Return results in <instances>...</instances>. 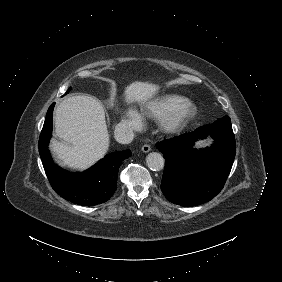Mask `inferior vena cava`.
<instances>
[{
  "label": "inferior vena cava",
  "instance_id": "602c4592",
  "mask_svg": "<svg viewBox=\"0 0 282 282\" xmlns=\"http://www.w3.org/2000/svg\"><path fill=\"white\" fill-rule=\"evenodd\" d=\"M114 138L118 143L129 144L134 138V133L128 125L119 123L115 126Z\"/></svg>",
  "mask_w": 282,
  "mask_h": 282
}]
</instances>
